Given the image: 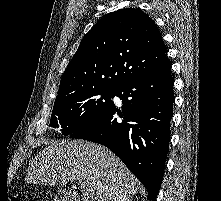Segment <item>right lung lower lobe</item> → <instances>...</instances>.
I'll list each match as a JSON object with an SVG mask.
<instances>
[{"label": "right lung lower lobe", "mask_w": 221, "mask_h": 201, "mask_svg": "<svg viewBox=\"0 0 221 201\" xmlns=\"http://www.w3.org/2000/svg\"><path fill=\"white\" fill-rule=\"evenodd\" d=\"M114 102L96 118L70 134L108 147L141 181L155 201L163 178L173 116V78L168 59L153 71L115 89ZM118 114L121 120L114 117Z\"/></svg>", "instance_id": "right-lung-lower-lobe-1"}]
</instances>
